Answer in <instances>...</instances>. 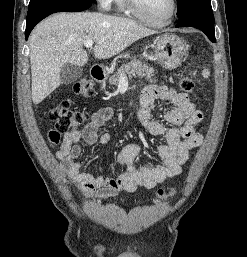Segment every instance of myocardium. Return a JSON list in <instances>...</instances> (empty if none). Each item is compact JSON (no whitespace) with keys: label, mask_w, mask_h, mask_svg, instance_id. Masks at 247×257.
I'll list each match as a JSON object with an SVG mask.
<instances>
[{"label":"myocardium","mask_w":247,"mask_h":257,"mask_svg":"<svg viewBox=\"0 0 247 257\" xmlns=\"http://www.w3.org/2000/svg\"><path fill=\"white\" fill-rule=\"evenodd\" d=\"M124 2L126 5V8L131 14H133L135 17H137L139 20L146 23L147 25L158 27V28L169 25L172 22L178 9V1L172 0V8H171L170 14L165 20L158 22V21H153L149 19L147 16L143 14V12L141 11L138 5L137 0H124Z\"/></svg>","instance_id":"f54148a6"}]
</instances>
